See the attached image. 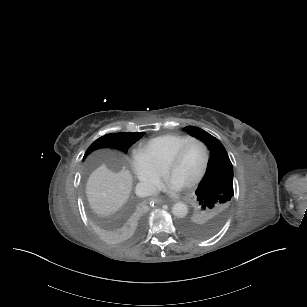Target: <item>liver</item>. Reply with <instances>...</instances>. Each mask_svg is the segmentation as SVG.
I'll return each mask as SVG.
<instances>
[{
	"instance_id": "1",
	"label": "liver",
	"mask_w": 307,
	"mask_h": 307,
	"mask_svg": "<svg viewBox=\"0 0 307 307\" xmlns=\"http://www.w3.org/2000/svg\"><path fill=\"white\" fill-rule=\"evenodd\" d=\"M132 183V175L123 164H102L91 173L86 184L91 209L102 216L115 213L127 202Z\"/></svg>"
}]
</instances>
